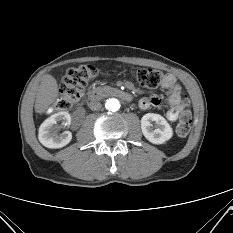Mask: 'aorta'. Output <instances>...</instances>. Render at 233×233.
Segmentation results:
<instances>
[{"instance_id":"1","label":"aorta","mask_w":233,"mask_h":233,"mask_svg":"<svg viewBox=\"0 0 233 233\" xmlns=\"http://www.w3.org/2000/svg\"><path fill=\"white\" fill-rule=\"evenodd\" d=\"M105 107L107 110L115 112L119 110L120 103L117 99L111 98L107 100Z\"/></svg>"}]
</instances>
